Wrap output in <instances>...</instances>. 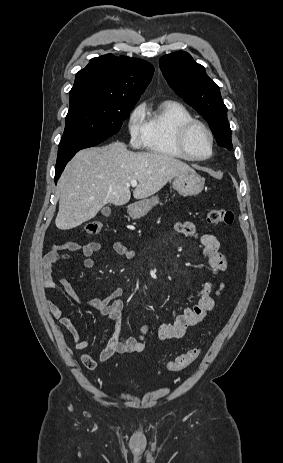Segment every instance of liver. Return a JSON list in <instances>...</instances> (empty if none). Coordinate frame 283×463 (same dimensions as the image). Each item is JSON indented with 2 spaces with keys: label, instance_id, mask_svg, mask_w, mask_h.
Masks as SVG:
<instances>
[{
  "label": "liver",
  "instance_id": "liver-1",
  "mask_svg": "<svg viewBox=\"0 0 283 463\" xmlns=\"http://www.w3.org/2000/svg\"><path fill=\"white\" fill-rule=\"evenodd\" d=\"M195 172L173 157L132 152L122 142L79 151L67 164L59 181V211L55 224L69 230L94 218L107 203L121 206L131 198L145 199L178 175Z\"/></svg>",
  "mask_w": 283,
  "mask_h": 463
}]
</instances>
